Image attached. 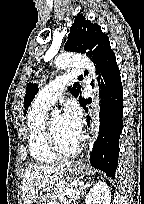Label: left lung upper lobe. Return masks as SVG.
<instances>
[{"instance_id":"5c2ea615","label":"left lung upper lobe","mask_w":144,"mask_h":204,"mask_svg":"<svg viewBox=\"0 0 144 204\" xmlns=\"http://www.w3.org/2000/svg\"><path fill=\"white\" fill-rule=\"evenodd\" d=\"M67 51L80 52L88 55L96 64L107 65L115 58V54L110 47L108 36L101 31V27L78 14L70 28L68 40L64 46ZM75 85L72 94L77 97L80 87ZM38 92V85L29 83L24 98V107L28 108L31 101ZM81 98V97H80Z\"/></svg>"}]
</instances>
